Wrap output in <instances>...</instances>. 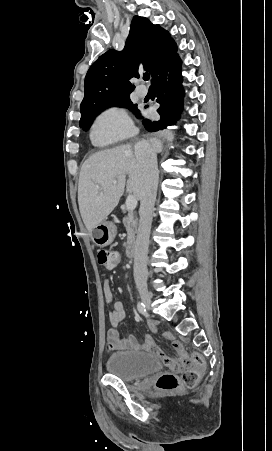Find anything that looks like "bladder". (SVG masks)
<instances>
[{
  "label": "bladder",
  "mask_w": 272,
  "mask_h": 451,
  "mask_svg": "<svg viewBox=\"0 0 272 451\" xmlns=\"http://www.w3.org/2000/svg\"><path fill=\"white\" fill-rule=\"evenodd\" d=\"M107 373L131 383L143 380L162 368L161 361L141 352L115 351L106 362Z\"/></svg>",
  "instance_id": "bladder-1"
}]
</instances>
